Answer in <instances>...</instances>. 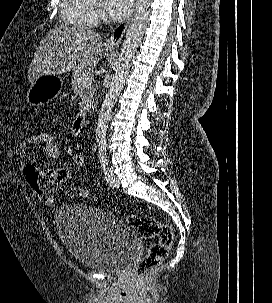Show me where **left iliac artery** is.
Returning a JSON list of instances; mask_svg holds the SVG:
<instances>
[{
    "instance_id": "1",
    "label": "left iliac artery",
    "mask_w": 272,
    "mask_h": 303,
    "mask_svg": "<svg viewBox=\"0 0 272 303\" xmlns=\"http://www.w3.org/2000/svg\"><path fill=\"white\" fill-rule=\"evenodd\" d=\"M98 149H99V159H100L101 167L103 168V170H105L108 166V160L106 156V144L105 143L99 144Z\"/></svg>"
}]
</instances>
